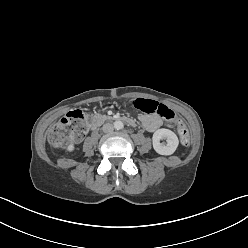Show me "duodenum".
<instances>
[{
  "label": "duodenum",
  "instance_id": "1",
  "mask_svg": "<svg viewBox=\"0 0 248 248\" xmlns=\"http://www.w3.org/2000/svg\"><path fill=\"white\" fill-rule=\"evenodd\" d=\"M109 117H99L96 119H93L90 121V128L92 130L96 129L101 123H103L104 121L108 120ZM115 120H121L123 122H125L126 124L133 126L134 125V121L130 118H126V117H116Z\"/></svg>",
  "mask_w": 248,
  "mask_h": 248
}]
</instances>
